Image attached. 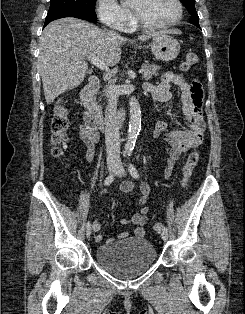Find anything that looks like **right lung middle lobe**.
<instances>
[{
  "mask_svg": "<svg viewBox=\"0 0 245 314\" xmlns=\"http://www.w3.org/2000/svg\"><path fill=\"white\" fill-rule=\"evenodd\" d=\"M96 0H51L48 13L57 11H81L95 13Z\"/></svg>",
  "mask_w": 245,
  "mask_h": 314,
  "instance_id": "right-lung-middle-lobe-1",
  "label": "right lung middle lobe"
}]
</instances>
